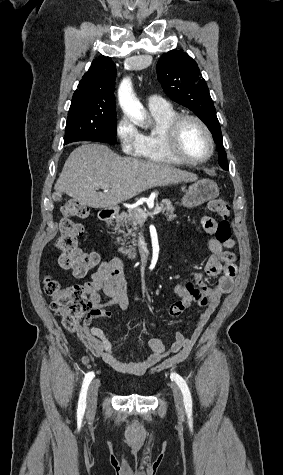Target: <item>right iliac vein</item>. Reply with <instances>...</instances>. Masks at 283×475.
Listing matches in <instances>:
<instances>
[{"label":"right iliac vein","mask_w":283,"mask_h":475,"mask_svg":"<svg viewBox=\"0 0 283 475\" xmlns=\"http://www.w3.org/2000/svg\"><path fill=\"white\" fill-rule=\"evenodd\" d=\"M100 386V382L98 380H94L88 390L87 395V415L91 417L95 413L96 408V399L98 395V389Z\"/></svg>","instance_id":"1"}]
</instances>
